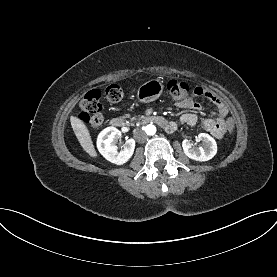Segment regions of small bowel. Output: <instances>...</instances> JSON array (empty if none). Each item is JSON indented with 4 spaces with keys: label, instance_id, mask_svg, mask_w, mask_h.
Segmentation results:
<instances>
[{
    "label": "small bowel",
    "instance_id": "1",
    "mask_svg": "<svg viewBox=\"0 0 277 277\" xmlns=\"http://www.w3.org/2000/svg\"><path fill=\"white\" fill-rule=\"evenodd\" d=\"M194 96L207 98L214 104L216 108V111L214 113L215 118L203 119L201 121L202 128L218 139L224 137L226 135V132L228 131L225 128V119L228 115V109L225 103L216 94L203 87L195 88ZM177 106L181 109L190 111H199L202 109V106L193 99L179 102L177 103ZM180 122L188 126H194L197 123V117L194 113H184L180 117Z\"/></svg>",
    "mask_w": 277,
    "mask_h": 277
}]
</instances>
